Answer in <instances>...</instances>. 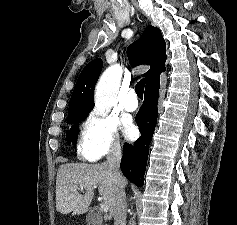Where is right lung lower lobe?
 <instances>
[{"label":"right lung lower lobe","mask_w":237,"mask_h":225,"mask_svg":"<svg viewBox=\"0 0 237 225\" xmlns=\"http://www.w3.org/2000/svg\"><path fill=\"white\" fill-rule=\"evenodd\" d=\"M159 86L160 83L145 88L144 103L136 115L141 136L133 145L125 143L123 147L121 171L128 180L139 187L144 184L149 144L157 123Z\"/></svg>","instance_id":"1"}]
</instances>
